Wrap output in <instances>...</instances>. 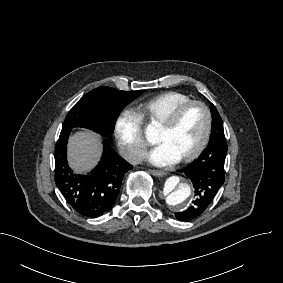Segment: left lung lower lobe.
<instances>
[{
    "instance_id": "obj_1",
    "label": "left lung lower lobe",
    "mask_w": 283,
    "mask_h": 283,
    "mask_svg": "<svg viewBox=\"0 0 283 283\" xmlns=\"http://www.w3.org/2000/svg\"><path fill=\"white\" fill-rule=\"evenodd\" d=\"M218 126L217 132L223 131L219 123L213 122L212 128ZM227 153L225 138L210 139L208 147L200 157L189 166L180 170L192 181L195 200L185 211L175 213L178 220L187 221L200 216L210 206L219 188L224 183V162Z\"/></svg>"
}]
</instances>
